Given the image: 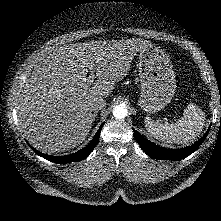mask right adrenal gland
Instances as JSON below:
<instances>
[{"instance_id":"1","label":"right adrenal gland","mask_w":221,"mask_h":221,"mask_svg":"<svg viewBox=\"0 0 221 221\" xmlns=\"http://www.w3.org/2000/svg\"><path fill=\"white\" fill-rule=\"evenodd\" d=\"M97 111H94V113H93V121L95 120V118H96V116H97Z\"/></svg>"}]
</instances>
